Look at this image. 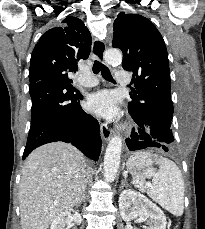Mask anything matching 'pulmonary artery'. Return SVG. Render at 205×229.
<instances>
[{
	"label": "pulmonary artery",
	"mask_w": 205,
	"mask_h": 229,
	"mask_svg": "<svg viewBox=\"0 0 205 229\" xmlns=\"http://www.w3.org/2000/svg\"><path fill=\"white\" fill-rule=\"evenodd\" d=\"M131 80L130 74L126 70H118L116 72V82L121 85H127L129 84ZM80 84L85 86V87H91L95 86L97 84V80L94 76L92 75H84L80 79Z\"/></svg>",
	"instance_id": "e3ab8cb5"
}]
</instances>
